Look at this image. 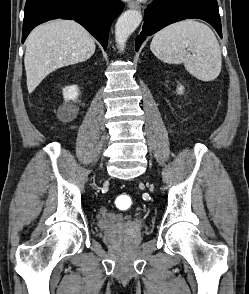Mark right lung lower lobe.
<instances>
[{"instance_id":"98d812e1","label":"right lung lower lobe","mask_w":249,"mask_h":294,"mask_svg":"<svg viewBox=\"0 0 249 294\" xmlns=\"http://www.w3.org/2000/svg\"><path fill=\"white\" fill-rule=\"evenodd\" d=\"M123 8L119 0H26L22 43L37 25L63 18L80 23L106 50L110 25Z\"/></svg>"}]
</instances>
